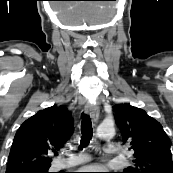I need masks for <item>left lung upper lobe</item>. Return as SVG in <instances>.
<instances>
[{"label":"left lung upper lobe","instance_id":"5c2ea615","mask_svg":"<svg viewBox=\"0 0 173 173\" xmlns=\"http://www.w3.org/2000/svg\"><path fill=\"white\" fill-rule=\"evenodd\" d=\"M113 110L123 142L132 152V165L123 173H173L170 141L162 125L130 104H117Z\"/></svg>","mask_w":173,"mask_h":173}]
</instances>
